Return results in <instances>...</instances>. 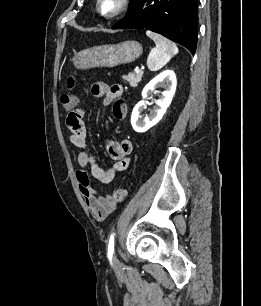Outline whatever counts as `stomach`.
<instances>
[{"mask_svg":"<svg viewBox=\"0 0 261 306\" xmlns=\"http://www.w3.org/2000/svg\"><path fill=\"white\" fill-rule=\"evenodd\" d=\"M143 53L142 45L137 41H124L116 45L92 47L77 53L73 64L78 69L93 67H114L131 63Z\"/></svg>","mask_w":261,"mask_h":306,"instance_id":"stomach-1","label":"stomach"}]
</instances>
